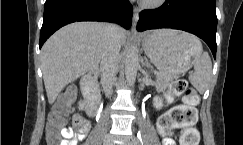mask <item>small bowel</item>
<instances>
[{
  "instance_id": "1",
  "label": "small bowel",
  "mask_w": 243,
  "mask_h": 145,
  "mask_svg": "<svg viewBox=\"0 0 243 145\" xmlns=\"http://www.w3.org/2000/svg\"><path fill=\"white\" fill-rule=\"evenodd\" d=\"M77 118H81V117L78 115H75L73 118V121L75 122V120ZM87 124H88V122H87ZM88 127H89V124H88ZM88 129L83 132H80V131L74 132L71 128H64L61 133V135H62L61 145H78V143L85 138L86 133L88 132ZM162 144L163 145H176L174 140L167 136H165L163 138Z\"/></svg>"
}]
</instances>
